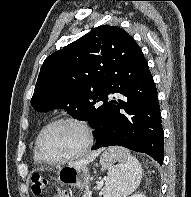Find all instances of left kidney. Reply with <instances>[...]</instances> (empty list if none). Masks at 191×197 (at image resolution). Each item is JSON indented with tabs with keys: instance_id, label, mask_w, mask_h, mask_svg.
Returning a JSON list of instances; mask_svg holds the SVG:
<instances>
[{
	"instance_id": "obj_1",
	"label": "left kidney",
	"mask_w": 191,
	"mask_h": 197,
	"mask_svg": "<svg viewBox=\"0 0 191 197\" xmlns=\"http://www.w3.org/2000/svg\"><path fill=\"white\" fill-rule=\"evenodd\" d=\"M130 197H146V196L142 193H135V194H132Z\"/></svg>"
}]
</instances>
